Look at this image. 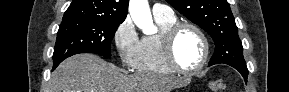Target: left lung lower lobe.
I'll return each mask as SVG.
<instances>
[{
    "instance_id": "obj_1",
    "label": "left lung lower lobe",
    "mask_w": 289,
    "mask_h": 92,
    "mask_svg": "<svg viewBox=\"0 0 289 92\" xmlns=\"http://www.w3.org/2000/svg\"><path fill=\"white\" fill-rule=\"evenodd\" d=\"M233 68H235L236 70H238L240 72V74L243 76L245 82H247V78H248V69L246 66H236V65H230Z\"/></svg>"
}]
</instances>
